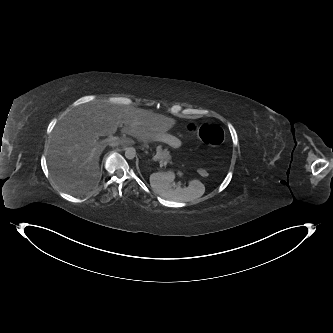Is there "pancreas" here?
<instances>
[{"label": "pancreas", "mask_w": 333, "mask_h": 333, "mask_svg": "<svg viewBox=\"0 0 333 333\" xmlns=\"http://www.w3.org/2000/svg\"><path fill=\"white\" fill-rule=\"evenodd\" d=\"M153 160L158 161L159 163L166 162V163L172 164V157L170 155V152L167 149H162L161 146L157 147L156 155L154 156ZM177 175L179 177H182L184 174H183V172L178 171Z\"/></svg>", "instance_id": "cf45deb5"}]
</instances>
